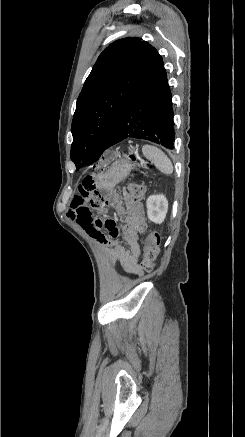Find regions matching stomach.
Instances as JSON below:
<instances>
[{
    "label": "stomach",
    "mask_w": 245,
    "mask_h": 437,
    "mask_svg": "<svg viewBox=\"0 0 245 437\" xmlns=\"http://www.w3.org/2000/svg\"><path fill=\"white\" fill-rule=\"evenodd\" d=\"M132 169V163L129 158H124L122 160L116 161L110 167L106 175L102 178L104 179V183L109 186H114L119 183L123 179H125ZM101 180V177H98Z\"/></svg>",
    "instance_id": "stomach-1"
}]
</instances>
